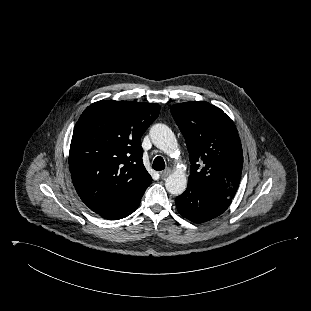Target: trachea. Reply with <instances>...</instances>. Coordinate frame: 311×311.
<instances>
[{
	"label": "trachea",
	"mask_w": 311,
	"mask_h": 311,
	"mask_svg": "<svg viewBox=\"0 0 311 311\" xmlns=\"http://www.w3.org/2000/svg\"><path fill=\"white\" fill-rule=\"evenodd\" d=\"M152 168L156 171H162L165 169L164 159L161 156H157L153 161Z\"/></svg>",
	"instance_id": "3493384b"
}]
</instances>
